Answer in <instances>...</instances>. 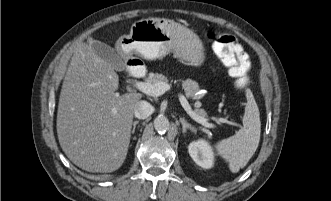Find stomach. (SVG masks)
<instances>
[{"label": "stomach", "instance_id": "1", "mask_svg": "<svg viewBox=\"0 0 331 201\" xmlns=\"http://www.w3.org/2000/svg\"><path fill=\"white\" fill-rule=\"evenodd\" d=\"M117 47L124 54H137L147 60L161 59L173 53L193 66L204 61L199 37L186 27L164 18H147L133 23L128 35H122Z\"/></svg>", "mask_w": 331, "mask_h": 201}]
</instances>
